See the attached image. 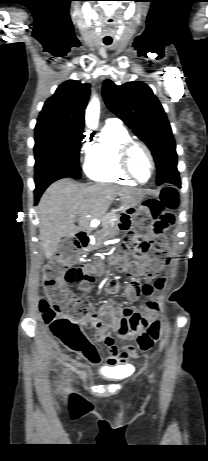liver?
I'll list each match as a JSON object with an SVG mask.
<instances>
[{"label":"liver","mask_w":208,"mask_h":461,"mask_svg":"<svg viewBox=\"0 0 208 461\" xmlns=\"http://www.w3.org/2000/svg\"><path fill=\"white\" fill-rule=\"evenodd\" d=\"M136 191L112 184L86 186L69 179L53 183L38 204L39 240L45 257L55 254L62 237L90 230L92 220L102 221L117 195Z\"/></svg>","instance_id":"6515ba94"}]
</instances>
